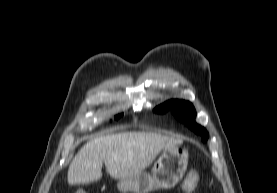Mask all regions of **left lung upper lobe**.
Segmentation results:
<instances>
[{
	"label": "left lung upper lobe",
	"mask_w": 277,
	"mask_h": 193,
	"mask_svg": "<svg viewBox=\"0 0 277 193\" xmlns=\"http://www.w3.org/2000/svg\"><path fill=\"white\" fill-rule=\"evenodd\" d=\"M171 109L172 113L180 120L183 121L190 129L196 134H200L203 141L208 138V132L205 128L195 123L196 111L190 102L183 100H170L155 108L157 112H166Z\"/></svg>",
	"instance_id": "left-lung-upper-lobe-1"
}]
</instances>
